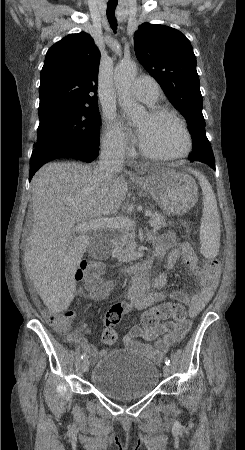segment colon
Masks as SVG:
<instances>
[{
	"mask_svg": "<svg viewBox=\"0 0 245 450\" xmlns=\"http://www.w3.org/2000/svg\"><path fill=\"white\" fill-rule=\"evenodd\" d=\"M220 263L217 259H210L206 263V270L215 274L219 271ZM104 267L100 262L94 260L85 261L77 270L75 279L83 281L91 288H97L101 285V273ZM126 304L114 303L104 315L103 341L107 344H114L117 341V334L114 330L125 312ZM73 312L68 309H60L58 311L47 310L44 312L46 321L56 329L66 332L71 327ZM172 320L177 323H183L187 319L185 308L173 302H163L152 309L147 310L141 319L144 333L153 330L160 322ZM145 334L143 338H145Z\"/></svg>",
	"mask_w": 245,
	"mask_h": 450,
	"instance_id": "1",
	"label": "colon"
}]
</instances>
